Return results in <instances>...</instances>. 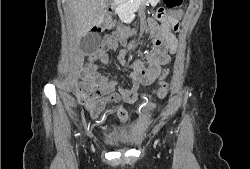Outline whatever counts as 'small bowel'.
Returning <instances> with one entry per match:
<instances>
[{"label": "small bowel", "mask_w": 250, "mask_h": 169, "mask_svg": "<svg viewBox=\"0 0 250 169\" xmlns=\"http://www.w3.org/2000/svg\"><path fill=\"white\" fill-rule=\"evenodd\" d=\"M174 20V17L168 16L162 21L160 34L153 40V48L146 53L147 66H144L140 60L135 61L133 65L126 61L127 49L133 50L136 46L127 42L128 33L123 29H120L116 35L104 36L99 46L89 54L90 62L83 67L88 81L76 90L75 96L77 101L93 117H96L112 98L115 101L122 99L128 102L130 100V92L124 89H120V93L114 92L116 81L109 80L101 75L95 65V62L107 64L108 51L116 49L118 43L127 47V49H121L117 53V59L122 66L133 69L131 78L134 97H137L136 92L140 84H151L155 81L160 84L156 95L159 98L165 97L169 91V82L167 80L169 69L166 65L170 62L171 54L175 51L177 45L176 38L171 32ZM118 116L122 123L126 124L128 122L129 114L123 107L119 109Z\"/></svg>", "instance_id": "c3829d8e"}]
</instances>
